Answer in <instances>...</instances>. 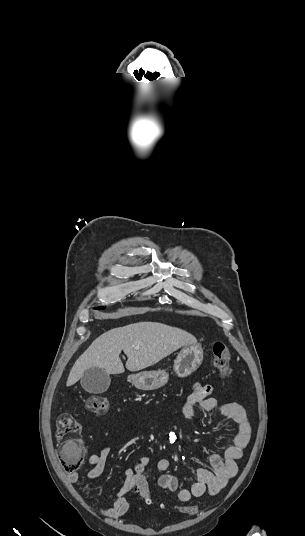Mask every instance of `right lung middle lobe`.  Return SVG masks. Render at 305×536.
<instances>
[{
    "instance_id": "right-lung-middle-lobe-1",
    "label": "right lung middle lobe",
    "mask_w": 305,
    "mask_h": 536,
    "mask_svg": "<svg viewBox=\"0 0 305 536\" xmlns=\"http://www.w3.org/2000/svg\"><path fill=\"white\" fill-rule=\"evenodd\" d=\"M101 308H102V307H101ZM101 308H100V307H98V308H95V309H101Z\"/></svg>"
}]
</instances>
